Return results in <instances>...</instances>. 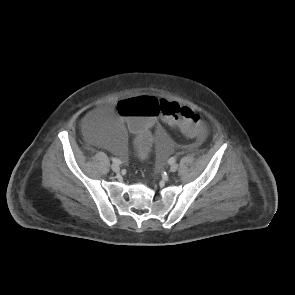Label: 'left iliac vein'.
I'll return each mask as SVG.
<instances>
[{"label": "left iliac vein", "mask_w": 295, "mask_h": 295, "mask_svg": "<svg viewBox=\"0 0 295 295\" xmlns=\"http://www.w3.org/2000/svg\"><path fill=\"white\" fill-rule=\"evenodd\" d=\"M177 169H178V164L177 163L171 164V166H170V171L171 172H175V171H177Z\"/></svg>", "instance_id": "1"}]
</instances>
